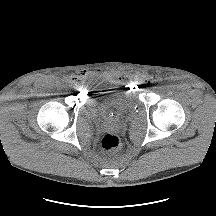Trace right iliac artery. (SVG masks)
Here are the masks:
<instances>
[{
  "label": "right iliac artery",
  "instance_id": "1",
  "mask_svg": "<svg viewBox=\"0 0 216 216\" xmlns=\"http://www.w3.org/2000/svg\"><path fill=\"white\" fill-rule=\"evenodd\" d=\"M64 83H65L67 86H70V87L73 85L72 82L69 81L68 79H65V80H64Z\"/></svg>",
  "mask_w": 216,
  "mask_h": 216
}]
</instances>
